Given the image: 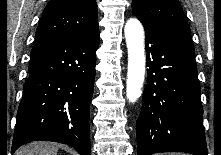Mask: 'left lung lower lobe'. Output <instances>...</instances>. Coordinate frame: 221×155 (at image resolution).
<instances>
[{
    "label": "left lung lower lobe",
    "instance_id": "0a47b994",
    "mask_svg": "<svg viewBox=\"0 0 221 155\" xmlns=\"http://www.w3.org/2000/svg\"><path fill=\"white\" fill-rule=\"evenodd\" d=\"M141 22L149 69L137 119L138 155H208L193 44Z\"/></svg>",
    "mask_w": 221,
    "mask_h": 155
}]
</instances>
